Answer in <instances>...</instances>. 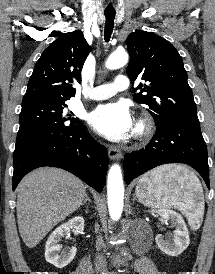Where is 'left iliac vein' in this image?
<instances>
[{"label":"left iliac vein","mask_w":215,"mask_h":274,"mask_svg":"<svg viewBox=\"0 0 215 274\" xmlns=\"http://www.w3.org/2000/svg\"><path fill=\"white\" fill-rule=\"evenodd\" d=\"M106 274H116V273H106Z\"/></svg>","instance_id":"left-iliac-vein-1"}]
</instances>
